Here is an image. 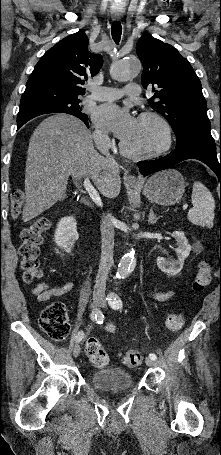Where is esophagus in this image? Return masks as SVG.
Returning <instances> with one entry per match:
<instances>
[{
  "label": "esophagus",
  "instance_id": "1",
  "mask_svg": "<svg viewBox=\"0 0 221 455\" xmlns=\"http://www.w3.org/2000/svg\"><path fill=\"white\" fill-rule=\"evenodd\" d=\"M112 19H113L114 21H118V20L120 19V16L115 15V16L112 17ZM125 179H126V181H128L129 183H138L137 178H136L135 176H133V175H126V176H125Z\"/></svg>",
  "mask_w": 221,
  "mask_h": 455
}]
</instances>
